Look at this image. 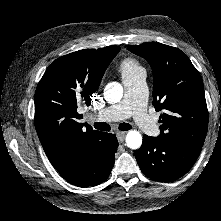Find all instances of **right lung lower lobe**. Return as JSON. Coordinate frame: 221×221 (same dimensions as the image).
Returning <instances> with one entry per match:
<instances>
[{
  "mask_svg": "<svg viewBox=\"0 0 221 221\" xmlns=\"http://www.w3.org/2000/svg\"><path fill=\"white\" fill-rule=\"evenodd\" d=\"M118 145L114 134L101 132L91 152L71 156L55 168L73 185L96 186L108 178Z\"/></svg>",
  "mask_w": 221,
  "mask_h": 221,
  "instance_id": "1",
  "label": "right lung lower lobe"
}]
</instances>
